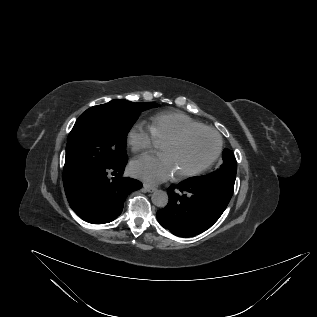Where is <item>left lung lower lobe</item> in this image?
<instances>
[{
	"label": "left lung lower lobe",
	"mask_w": 317,
	"mask_h": 317,
	"mask_svg": "<svg viewBox=\"0 0 317 317\" xmlns=\"http://www.w3.org/2000/svg\"><path fill=\"white\" fill-rule=\"evenodd\" d=\"M234 185L188 178L169 187V203L157 212L159 223L180 237L198 235L210 228L226 209Z\"/></svg>",
	"instance_id": "obj_1"
}]
</instances>
